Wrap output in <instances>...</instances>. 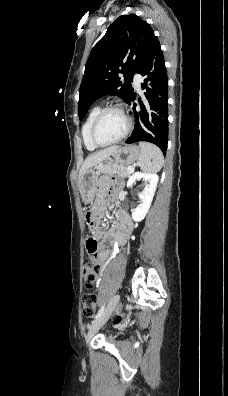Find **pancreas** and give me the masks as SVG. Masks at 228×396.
<instances>
[{
  "mask_svg": "<svg viewBox=\"0 0 228 396\" xmlns=\"http://www.w3.org/2000/svg\"><path fill=\"white\" fill-rule=\"evenodd\" d=\"M100 174L118 175L122 178H126L130 175V171L126 166L116 163H109L100 169Z\"/></svg>",
  "mask_w": 228,
  "mask_h": 396,
  "instance_id": "pancreas-1",
  "label": "pancreas"
}]
</instances>
